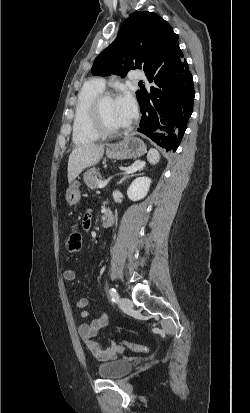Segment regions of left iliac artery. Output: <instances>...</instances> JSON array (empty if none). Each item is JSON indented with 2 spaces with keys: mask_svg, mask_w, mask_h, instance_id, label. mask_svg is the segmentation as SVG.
Segmentation results:
<instances>
[{
  "mask_svg": "<svg viewBox=\"0 0 250 413\" xmlns=\"http://www.w3.org/2000/svg\"><path fill=\"white\" fill-rule=\"evenodd\" d=\"M109 294H110L113 302H118L119 295H118L117 291L114 288L109 289Z\"/></svg>",
  "mask_w": 250,
  "mask_h": 413,
  "instance_id": "obj_1",
  "label": "left iliac artery"
}]
</instances>
